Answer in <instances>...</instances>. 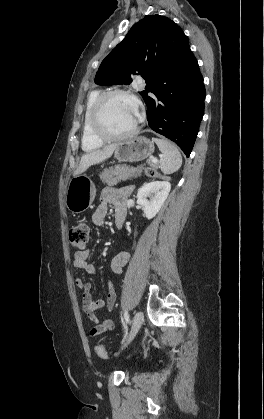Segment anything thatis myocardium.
Instances as JSON below:
<instances>
[{"label": "myocardium", "mask_w": 264, "mask_h": 419, "mask_svg": "<svg viewBox=\"0 0 264 419\" xmlns=\"http://www.w3.org/2000/svg\"><path fill=\"white\" fill-rule=\"evenodd\" d=\"M113 96H124V97H127V98L133 100L136 103L138 109L140 110L139 101L129 91L122 90V89H113V90H109V91L101 93L98 96V98L96 99V101L94 102L93 107L91 109L90 129H91L92 134L97 139H99L103 142L120 141V140L128 139V138L132 137L133 135H135L136 132L138 131V128H139V120H137L136 124L134 125V127L132 129H130L129 131H127L125 133H121V134L109 133L104 128V126L102 124V119H101L102 109H103V106L106 103V101Z\"/></svg>", "instance_id": "f54148a6"}]
</instances>
